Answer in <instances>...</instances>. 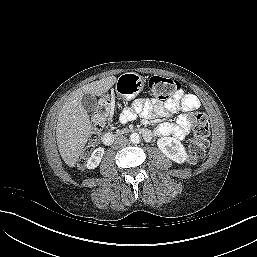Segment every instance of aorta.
<instances>
[{
    "mask_svg": "<svg viewBox=\"0 0 257 257\" xmlns=\"http://www.w3.org/2000/svg\"><path fill=\"white\" fill-rule=\"evenodd\" d=\"M130 142L133 144H138L140 142V136L138 133H132L130 135Z\"/></svg>",
    "mask_w": 257,
    "mask_h": 257,
    "instance_id": "1",
    "label": "aorta"
}]
</instances>
